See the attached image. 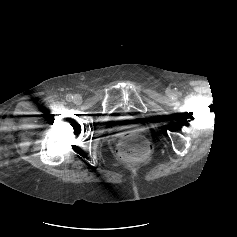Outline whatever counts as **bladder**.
I'll list each match as a JSON object with an SVG mask.
<instances>
[{"label": "bladder", "mask_w": 237, "mask_h": 237, "mask_svg": "<svg viewBox=\"0 0 237 237\" xmlns=\"http://www.w3.org/2000/svg\"><path fill=\"white\" fill-rule=\"evenodd\" d=\"M112 126H132L135 124V120L127 115L112 117L109 121Z\"/></svg>", "instance_id": "obj_1"}]
</instances>
